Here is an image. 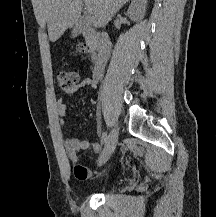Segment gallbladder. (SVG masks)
I'll return each instance as SVG.
<instances>
[{
  "instance_id": "obj_1",
  "label": "gallbladder",
  "mask_w": 216,
  "mask_h": 217,
  "mask_svg": "<svg viewBox=\"0 0 216 217\" xmlns=\"http://www.w3.org/2000/svg\"><path fill=\"white\" fill-rule=\"evenodd\" d=\"M82 29V22H78L72 31V37L75 38L80 34V30Z\"/></svg>"
}]
</instances>
